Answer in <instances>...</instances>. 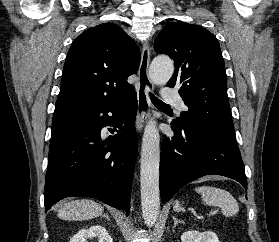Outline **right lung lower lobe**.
<instances>
[{
  "label": "right lung lower lobe",
  "instance_id": "right-lung-lower-lobe-1",
  "mask_svg": "<svg viewBox=\"0 0 279 242\" xmlns=\"http://www.w3.org/2000/svg\"><path fill=\"white\" fill-rule=\"evenodd\" d=\"M136 113L134 92L116 105L63 116L62 124L52 129L45 211L65 197L84 196L129 214L137 156ZM106 125L118 133L104 140L100 132Z\"/></svg>",
  "mask_w": 279,
  "mask_h": 242
}]
</instances>
